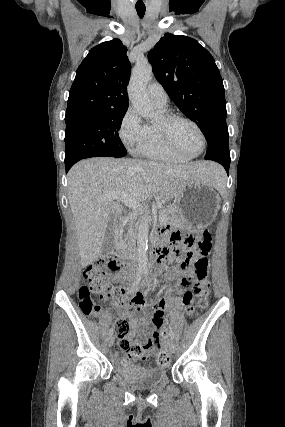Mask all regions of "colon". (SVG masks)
<instances>
[{
	"mask_svg": "<svg viewBox=\"0 0 285 427\" xmlns=\"http://www.w3.org/2000/svg\"><path fill=\"white\" fill-rule=\"evenodd\" d=\"M182 245L184 248L199 254H208L211 248L210 237L206 234L185 237ZM189 266V262H183L181 268L186 270ZM192 268L196 273L187 274L180 280L185 291L183 303L186 306L204 309L207 306L210 288L209 283L205 281L206 262L194 260ZM121 270V263L113 256L99 258L84 269L83 283L79 288V299L80 309L85 315L97 317L101 313L102 308L97 303L95 296H98L101 301L115 299L130 307L136 304L133 299H121L119 291H112L111 277L116 276ZM112 328L117 337V349L125 357L132 359L146 349L145 344L136 343L129 337L130 326L127 320H116ZM153 339L157 343L161 342V337L158 334L153 335ZM157 362L160 365H166L169 362L168 353L160 351L157 354Z\"/></svg>",
	"mask_w": 285,
	"mask_h": 427,
	"instance_id": "5ec220e1",
	"label": "colon"
}]
</instances>
